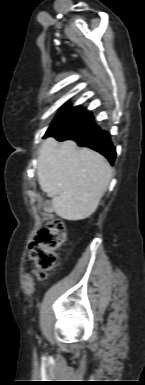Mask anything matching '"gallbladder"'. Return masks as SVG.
I'll return each mask as SVG.
<instances>
[{
  "label": "gallbladder",
  "mask_w": 145,
  "mask_h": 385,
  "mask_svg": "<svg viewBox=\"0 0 145 385\" xmlns=\"http://www.w3.org/2000/svg\"><path fill=\"white\" fill-rule=\"evenodd\" d=\"M43 208H44V210H45L46 212H52V210H53L52 203H51V202H48V201L44 202Z\"/></svg>",
  "instance_id": "obj_1"
}]
</instances>
